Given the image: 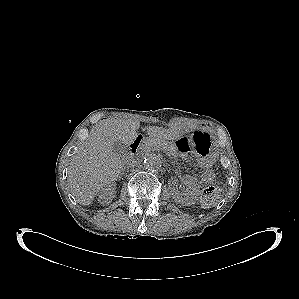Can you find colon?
<instances>
[{
    "label": "colon",
    "mask_w": 299,
    "mask_h": 299,
    "mask_svg": "<svg viewBox=\"0 0 299 299\" xmlns=\"http://www.w3.org/2000/svg\"><path fill=\"white\" fill-rule=\"evenodd\" d=\"M215 174L212 170H206L202 179L207 184L201 194L202 204L209 206L214 203L219 192V186L214 182Z\"/></svg>",
    "instance_id": "obj_1"
}]
</instances>
